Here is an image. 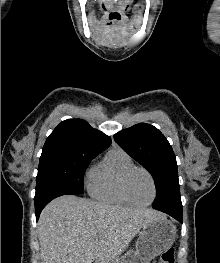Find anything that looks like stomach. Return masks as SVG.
I'll use <instances>...</instances> for the list:
<instances>
[{
  "instance_id": "obj_1",
  "label": "stomach",
  "mask_w": 220,
  "mask_h": 263,
  "mask_svg": "<svg viewBox=\"0 0 220 263\" xmlns=\"http://www.w3.org/2000/svg\"><path fill=\"white\" fill-rule=\"evenodd\" d=\"M176 226L161 216L142 227L135 250L128 251L120 263H150L167 250L176 239Z\"/></svg>"
}]
</instances>
